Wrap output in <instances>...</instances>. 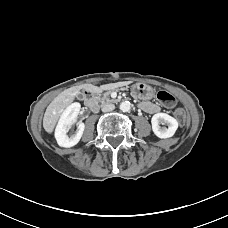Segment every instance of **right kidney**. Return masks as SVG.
Masks as SVG:
<instances>
[{
  "instance_id": "ca27d5eb",
  "label": "right kidney",
  "mask_w": 228,
  "mask_h": 228,
  "mask_svg": "<svg viewBox=\"0 0 228 228\" xmlns=\"http://www.w3.org/2000/svg\"><path fill=\"white\" fill-rule=\"evenodd\" d=\"M80 108V103H72L61 115V118L55 130V138L59 146L70 148L75 146L80 141L85 129L84 123L79 122L77 124V132L75 134H72L70 136L67 134L70 126L75 123Z\"/></svg>"
}]
</instances>
